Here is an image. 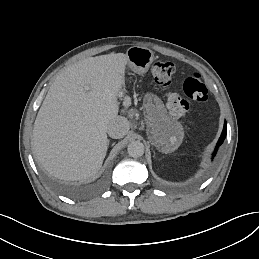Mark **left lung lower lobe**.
I'll return each mask as SVG.
<instances>
[{
  "mask_svg": "<svg viewBox=\"0 0 259 259\" xmlns=\"http://www.w3.org/2000/svg\"><path fill=\"white\" fill-rule=\"evenodd\" d=\"M226 133H227V124H226V122H225V123H224L223 131H222V134H221V137L219 138V141H218V143H217V146H216V149H215V151H214V153H213V156H215V154H216V152H217V147L220 146V145L223 143V141H224V139H225V137H226Z\"/></svg>",
  "mask_w": 259,
  "mask_h": 259,
  "instance_id": "obj_1",
  "label": "left lung lower lobe"
}]
</instances>
